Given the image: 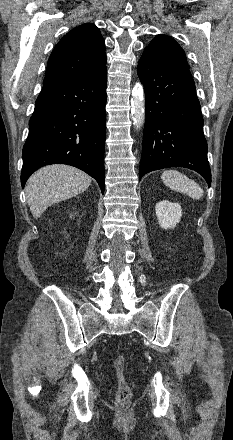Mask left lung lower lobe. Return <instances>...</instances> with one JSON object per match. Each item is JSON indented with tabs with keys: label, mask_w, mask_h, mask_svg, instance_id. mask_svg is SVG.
<instances>
[{
	"label": "left lung lower lobe",
	"mask_w": 233,
	"mask_h": 440,
	"mask_svg": "<svg viewBox=\"0 0 233 440\" xmlns=\"http://www.w3.org/2000/svg\"><path fill=\"white\" fill-rule=\"evenodd\" d=\"M137 73L146 106L139 180L178 166L195 170L210 186L203 117L189 69L143 54Z\"/></svg>",
	"instance_id": "0a47b994"
}]
</instances>
